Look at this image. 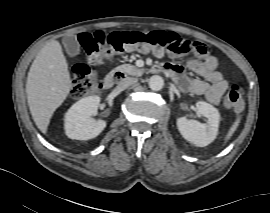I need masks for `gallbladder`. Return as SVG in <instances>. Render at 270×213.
<instances>
[{
  "mask_svg": "<svg viewBox=\"0 0 270 213\" xmlns=\"http://www.w3.org/2000/svg\"><path fill=\"white\" fill-rule=\"evenodd\" d=\"M63 45L70 56H76L80 52V45L74 35L63 38Z\"/></svg>",
  "mask_w": 270,
  "mask_h": 213,
  "instance_id": "1",
  "label": "gallbladder"
}]
</instances>
